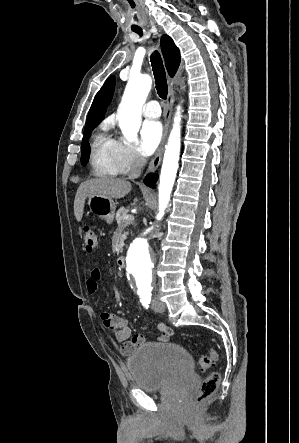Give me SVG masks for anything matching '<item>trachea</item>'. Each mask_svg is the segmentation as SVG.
<instances>
[{
    "label": "trachea",
    "instance_id": "obj_1",
    "mask_svg": "<svg viewBox=\"0 0 299 443\" xmlns=\"http://www.w3.org/2000/svg\"><path fill=\"white\" fill-rule=\"evenodd\" d=\"M133 31L140 35L142 34V30H133ZM150 58L155 78L157 94L159 95L160 98L166 99L168 94V85H167L166 73L161 55L158 51H155L151 54Z\"/></svg>",
    "mask_w": 299,
    "mask_h": 443
}]
</instances>
